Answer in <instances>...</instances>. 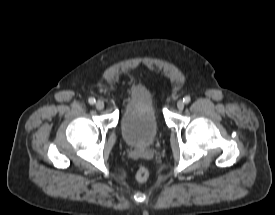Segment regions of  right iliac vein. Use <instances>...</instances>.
Returning a JSON list of instances; mask_svg holds the SVG:
<instances>
[{"instance_id":"obj_1","label":"right iliac vein","mask_w":275,"mask_h":215,"mask_svg":"<svg viewBox=\"0 0 275 215\" xmlns=\"http://www.w3.org/2000/svg\"><path fill=\"white\" fill-rule=\"evenodd\" d=\"M95 106L98 110H102L104 108V103L99 100L96 102Z\"/></svg>"}]
</instances>
